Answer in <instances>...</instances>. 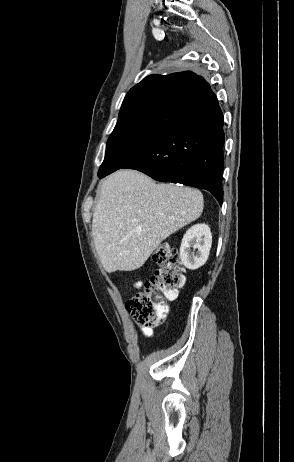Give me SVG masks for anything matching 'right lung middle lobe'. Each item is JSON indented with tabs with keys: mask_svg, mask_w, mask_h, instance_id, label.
<instances>
[{
	"mask_svg": "<svg viewBox=\"0 0 294 462\" xmlns=\"http://www.w3.org/2000/svg\"><path fill=\"white\" fill-rule=\"evenodd\" d=\"M186 104L185 97L171 93L120 111L98 176L121 168L145 143L166 129Z\"/></svg>",
	"mask_w": 294,
	"mask_h": 462,
	"instance_id": "obj_1",
	"label": "right lung middle lobe"
}]
</instances>
